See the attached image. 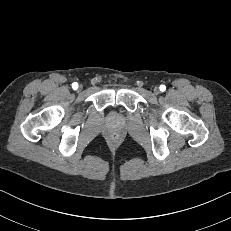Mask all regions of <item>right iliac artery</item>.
I'll use <instances>...</instances> for the list:
<instances>
[{"label":"right iliac artery","instance_id":"obj_1","mask_svg":"<svg viewBox=\"0 0 231 231\" xmlns=\"http://www.w3.org/2000/svg\"><path fill=\"white\" fill-rule=\"evenodd\" d=\"M72 88H73V89H77V88H78V84H77L76 82H74V83L72 84Z\"/></svg>","mask_w":231,"mask_h":231}]
</instances>
